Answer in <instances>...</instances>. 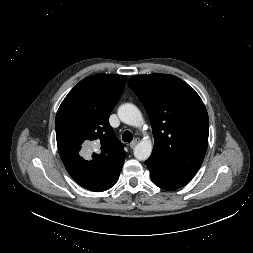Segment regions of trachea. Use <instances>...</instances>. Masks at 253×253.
<instances>
[{
  "label": "trachea",
  "mask_w": 253,
  "mask_h": 253,
  "mask_svg": "<svg viewBox=\"0 0 253 253\" xmlns=\"http://www.w3.org/2000/svg\"><path fill=\"white\" fill-rule=\"evenodd\" d=\"M122 140L124 142H131L133 140V134L130 131H125L122 135Z\"/></svg>",
  "instance_id": "obj_1"
}]
</instances>
